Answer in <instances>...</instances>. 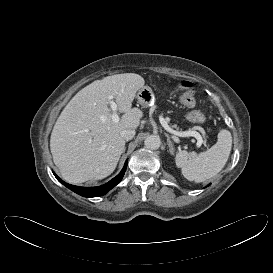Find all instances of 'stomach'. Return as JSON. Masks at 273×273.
<instances>
[{"label": "stomach", "instance_id": "stomach-1", "mask_svg": "<svg viewBox=\"0 0 273 273\" xmlns=\"http://www.w3.org/2000/svg\"><path fill=\"white\" fill-rule=\"evenodd\" d=\"M136 97H137L138 103L144 108L152 107L155 103L154 93L148 87L141 88L138 91Z\"/></svg>", "mask_w": 273, "mask_h": 273}]
</instances>
